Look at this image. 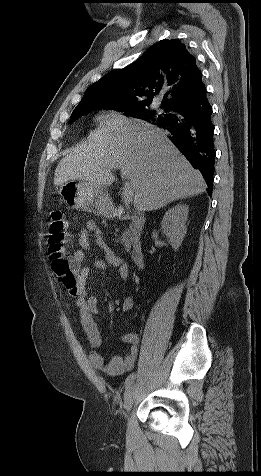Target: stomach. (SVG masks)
<instances>
[{
	"label": "stomach",
	"mask_w": 261,
	"mask_h": 476,
	"mask_svg": "<svg viewBox=\"0 0 261 476\" xmlns=\"http://www.w3.org/2000/svg\"><path fill=\"white\" fill-rule=\"evenodd\" d=\"M60 193L72 209L104 217L113 214V205L105 187H97L83 180H72L61 186Z\"/></svg>",
	"instance_id": "0dacf381"
}]
</instances>
